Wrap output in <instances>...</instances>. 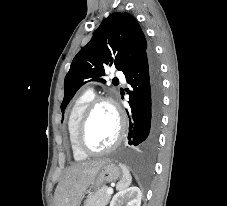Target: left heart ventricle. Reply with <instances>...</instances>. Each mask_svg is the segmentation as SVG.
Instances as JSON below:
<instances>
[{
  "instance_id": "obj_1",
  "label": "left heart ventricle",
  "mask_w": 227,
  "mask_h": 206,
  "mask_svg": "<svg viewBox=\"0 0 227 206\" xmlns=\"http://www.w3.org/2000/svg\"><path fill=\"white\" fill-rule=\"evenodd\" d=\"M118 119L114 109L108 104H100L93 111L87 125L85 141L93 150L110 146L117 137Z\"/></svg>"
}]
</instances>
